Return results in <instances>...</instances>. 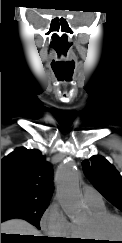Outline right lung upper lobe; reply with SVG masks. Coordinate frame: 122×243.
<instances>
[{
	"label": "right lung upper lobe",
	"mask_w": 122,
	"mask_h": 243,
	"mask_svg": "<svg viewBox=\"0 0 122 243\" xmlns=\"http://www.w3.org/2000/svg\"><path fill=\"white\" fill-rule=\"evenodd\" d=\"M52 166L37 149H15L1 160V196L19 195L49 200Z\"/></svg>",
	"instance_id": "right-lung-upper-lobe-1"
}]
</instances>
